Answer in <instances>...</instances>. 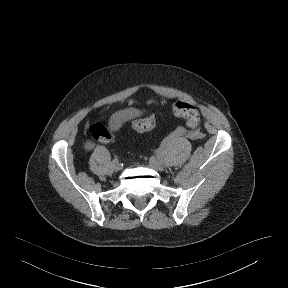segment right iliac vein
<instances>
[{
  "label": "right iliac vein",
  "instance_id": "1",
  "mask_svg": "<svg viewBox=\"0 0 288 288\" xmlns=\"http://www.w3.org/2000/svg\"><path fill=\"white\" fill-rule=\"evenodd\" d=\"M113 167L116 171H119L123 168V165L119 163L118 161H113Z\"/></svg>",
  "mask_w": 288,
  "mask_h": 288
}]
</instances>
